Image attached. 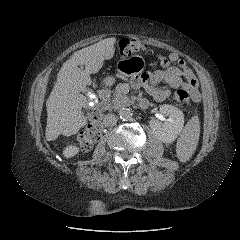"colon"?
<instances>
[{"label": "colon", "instance_id": "1", "mask_svg": "<svg viewBox=\"0 0 240 240\" xmlns=\"http://www.w3.org/2000/svg\"><path fill=\"white\" fill-rule=\"evenodd\" d=\"M118 49L121 55L128 56L136 52L145 51L147 45L137 38H123L118 42ZM194 100L193 95L184 89H179L173 96L176 104L190 107ZM101 132V113L95 109L90 114V124L85 131H82L78 137V143L82 150H89L99 139Z\"/></svg>", "mask_w": 240, "mask_h": 240}]
</instances>
